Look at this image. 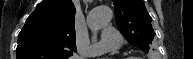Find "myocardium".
<instances>
[{
	"mask_svg": "<svg viewBox=\"0 0 193 59\" xmlns=\"http://www.w3.org/2000/svg\"><path fill=\"white\" fill-rule=\"evenodd\" d=\"M123 59H141V58H138V57H134V56H129V57H125Z\"/></svg>",
	"mask_w": 193,
	"mask_h": 59,
	"instance_id": "myocardium-1",
	"label": "myocardium"
}]
</instances>
